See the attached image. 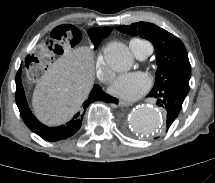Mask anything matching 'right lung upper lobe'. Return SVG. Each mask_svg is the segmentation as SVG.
<instances>
[{
    "label": "right lung upper lobe",
    "mask_w": 215,
    "mask_h": 183,
    "mask_svg": "<svg viewBox=\"0 0 215 183\" xmlns=\"http://www.w3.org/2000/svg\"><path fill=\"white\" fill-rule=\"evenodd\" d=\"M99 29H100V28H99ZM100 30H102V31H104L105 33L109 34V33L111 32L112 28L105 27V28H102V29H100Z\"/></svg>",
    "instance_id": "1"
}]
</instances>
